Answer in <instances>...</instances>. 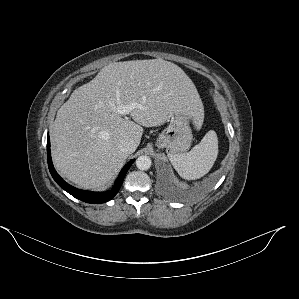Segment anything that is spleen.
I'll use <instances>...</instances> for the list:
<instances>
[{
	"mask_svg": "<svg viewBox=\"0 0 299 299\" xmlns=\"http://www.w3.org/2000/svg\"><path fill=\"white\" fill-rule=\"evenodd\" d=\"M218 155V139L215 131H208L199 144L182 154H169V160L180 177L195 180L207 174Z\"/></svg>",
	"mask_w": 299,
	"mask_h": 299,
	"instance_id": "1",
	"label": "spleen"
}]
</instances>
